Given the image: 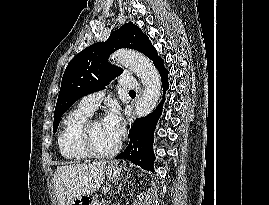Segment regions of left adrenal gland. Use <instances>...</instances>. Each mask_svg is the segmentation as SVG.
I'll list each match as a JSON object with an SVG mask.
<instances>
[{
	"mask_svg": "<svg viewBox=\"0 0 269 205\" xmlns=\"http://www.w3.org/2000/svg\"><path fill=\"white\" fill-rule=\"evenodd\" d=\"M127 178H128V177H127ZM127 178H125L123 181H126ZM121 186H122V183H120V185H119V187H118V193H119V191L121 190Z\"/></svg>",
	"mask_w": 269,
	"mask_h": 205,
	"instance_id": "left-adrenal-gland-1",
	"label": "left adrenal gland"
}]
</instances>
